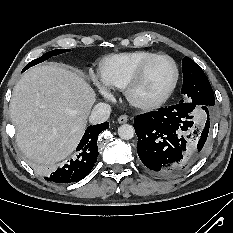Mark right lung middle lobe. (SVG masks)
<instances>
[{
	"label": "right lung middle lobe",
	"mask_w": 233,
	"mask_h": 233,
	"mask_svg": "<svg viewBox=\"0 0 233 233\" xmlns=\"http://www.w3.org/2000/svg\"><path fill=\"white\" fill-rule=\"evenodd\" d=\"M69 51H70L69 49H56V50L49 51V52L45 53L44 55H42L41 57H39L38 59H35V60L31 61L30 63H28L24 67L23 71L27 70L28 68H30L38 63H41V62L49 59L52 56H56V55L62 54L64 52H69Z\"/></svg>",
	"instance_id": "dd1d6c3e"
}]
</instances>
